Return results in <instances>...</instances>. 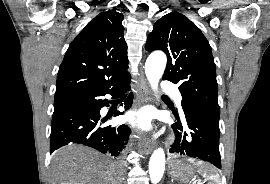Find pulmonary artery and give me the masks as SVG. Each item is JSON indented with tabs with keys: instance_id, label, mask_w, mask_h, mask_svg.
I'll list each match as a JSON object with an SVG mask.
<instances>
[{
	"instance_id": "pulmonary-artery-1",
	"label": "pulmonary artery",
	"mask_w": 270,
	"mask_h": 184,
	"mask_svg": "<svg viewBox=\"0 0 270 184\" xmlns=\"http://www.w3.org/2000/svg\"><path fill=\"white\" fill-rule=\"evenodd\" d=\"M162 88L164 91L172 94L179 105L181 104L182 101L181 94L179 93L177 87L173 83L166 81L163 83Z\"/></svg>"
}]
</instances>
